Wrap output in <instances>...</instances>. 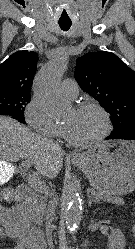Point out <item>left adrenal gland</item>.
Listing matches in <instances>:
<instances>
[{"mask_svg": "<svg viewBox=\"0 0 135 249\" xmlns=\"http://www.w3.org/2000/svg\"><path fill=\"white\" fill-rule=\"evenodd\" d=\"M92 203H100L99 200L92 199L91 196H88V206H90Z\"/></svg>", "mask_w": 135, "mask_h": 249, "instance_id": "1", "label": "left adrenal gland"}]
</instances>
